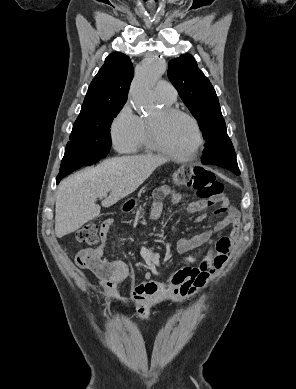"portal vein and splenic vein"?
I'll return each mask as SVG.
<instances>
[{
  "mask_svg": "<svg viewBox=\"0 0 296 389\" xmlns=\"http://www.w3.org/2000/svg\"><path fill=\"white\" fill-rule=\"evenodd\" d=\"M107 195H102L100 198L106 197Z\"/></svg>",
  "mask_w": 296,
  "mask_h": 389,
  "instance_id": "18ae733b",
  "label": "portal vein and splenic vein"
}]
</instances>
